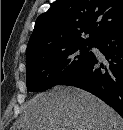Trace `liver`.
Instances as JSON below:
<instances>
[{
	"mask_svg": "<svg viewBox=\"0 0 123 130\" xmlns=\"http://www.w3.org/2000/svg\"><path fill=\"white\" fill-rule=\"evenodd\" d=\"M14 130H123V118L96 96L55 86L24 104Z\"/></svg>",
	"mask_w": 123,
	"mask_h": 130,
	"instance_id": "obj_1",
	"label": "liver"
}]
</instances>
